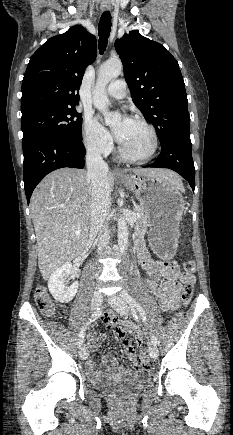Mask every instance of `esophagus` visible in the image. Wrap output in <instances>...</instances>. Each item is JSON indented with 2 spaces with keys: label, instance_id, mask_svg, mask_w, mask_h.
Masks as SVG:
<instances>
[{
  "label": "esophagus",
  "instance_id": "esophagus-1",
  "mask_svg": "<svg viewBox=\"0 0 233 435\" xmlns=\"http://www.w3.org/2000/svg\"><path fill=\"white\" fill-rule=\"evenodd\" d=\"M110 8H111L110 2H109L108 0H104V1L102 2V5H101V10L104 12V11H108V10H110ZM114 173H115L116 175H124V174H125V173H124L120 168H118V167L114 168Z\"/></svg>",
  "mask_w": 233,
  "mask_h": 435
}]
</instances>
